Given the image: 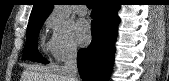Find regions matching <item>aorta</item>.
Instances as JSON below:
<instances>
[{
  "instance_id": "aorta-1",
  "label": "aorta",
  "mask_w": 169,
  "mask_h": 81,
  "mask_svg": "<svg viewBox=\"0 0 169 81\" xmlns=\"http://www.w3.org/2000/svg\"><path fill=\"white\" fill-rule=\"evenodd\" d=\"M54 12L59 17L67 19L71 15V8L68 5H55Z\"/></svg>"
}]
</instances>
